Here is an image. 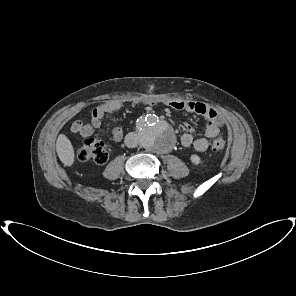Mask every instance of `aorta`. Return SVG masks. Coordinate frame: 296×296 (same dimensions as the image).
<instances>
[{
    "label": "aorta",
    "instance_id": "aorta-1",
    "mask_svg": "<svg viewBox=\"0 0 296 296\" xmlns=\"http://www.w3.org/2000/svg\"><path fill=\"white\" fill-rule=\"evenodd\" d=\"M139 142L148 151L166 153L175 142L174 131L171 126L156 115L140 117L137 120Z\"/></svg>",
    "mask_w": 296,
    "mask_h": 296
}]
</instances>
